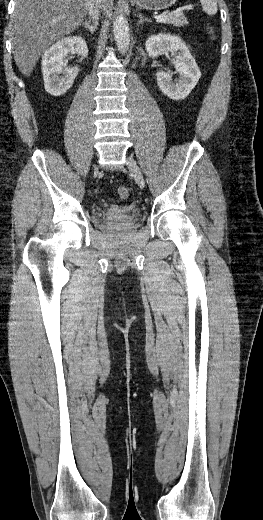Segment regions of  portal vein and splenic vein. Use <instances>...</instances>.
<instances>
[{
    "label": "portal vein and splenic vein",
    "instance_id": "obj_1",
    "mask_svg": "<svg viewBox=\"0 0 263 520\" xmlns=\"http://www.w3.org/2000/svg\"><path fill=\"white\" fill-rule=\"evenodd\" d=\"M166 17H167V14L163 13V14L159 15L158 17H156V21L162 22Z\"/></svg>",
    "mask_w": 263,
    "mask_h": 520
}]
</instances>
